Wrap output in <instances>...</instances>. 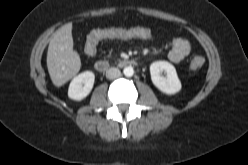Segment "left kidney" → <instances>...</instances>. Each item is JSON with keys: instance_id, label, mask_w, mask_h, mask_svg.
I'll return each instance as SVG.
<instances>
[{"instance_id": "5707ae66", "label": "left kidney", "mask_w": 248, "mask_h": 165, "mask_svg": "<svg viewBox=\"0 0 248 165\" xmlns=\"http://www.w3.org/2000/svg\"><path fill=\"white\" fill-rule=\"evenodd\" d=\"M166 77L162 76V72ZM152 83L163 93L172 95L181 90V82L175 67L167 61H156L150 65Z\"/></svg>"}]
</instances>
